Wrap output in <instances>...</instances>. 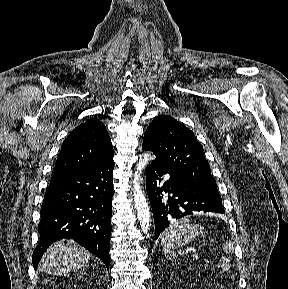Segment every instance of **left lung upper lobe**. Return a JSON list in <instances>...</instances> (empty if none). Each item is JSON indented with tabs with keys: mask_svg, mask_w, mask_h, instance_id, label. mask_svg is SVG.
Here are the masks:
<instances>
[{
	"mask_svg": "<svg viewBox=\"0 0 288 289\" xmlns=\"http://www.w3.org/2000/svg\"><path fill=\"white\" fill-rule=\"evenodd\" d=\"M143 149L153 151L160 166L170 174L218 193L203 147L194 133L170 116H157L147 128Z\"/></svg>",
	"mask_w": 288,
	"mask_h": 289,
	"instance_id": "1",
	"label": "left lung upper lobe"
}]
</instances>
